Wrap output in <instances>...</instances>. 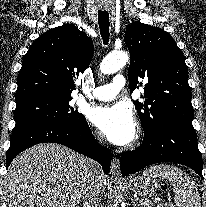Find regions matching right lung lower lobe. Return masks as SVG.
Instances as JSON below:
<instances>
[{"label": "right lung lower lobe", "instance_id": "right-lung-lower-lobe-1", "mask_svg": "<svg viewBox=\"0 0 206 207\" xmlns=\"http://www.w3.org/2000/svg\"><path fill=\"white\" fill-rule=\"evenodd\" d=\"M58 143L80 154L98 161L109 173L111 152L94 138L86 120L78 126L67 124H41L11 135L10 147L6 156V168L23 150L38 143Z\"/></svg>", "mask_w": 206, "mask_h": 207}]
</instances>
